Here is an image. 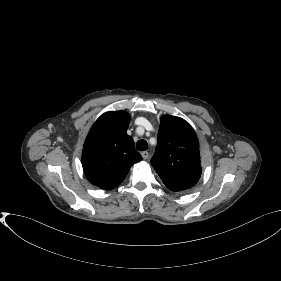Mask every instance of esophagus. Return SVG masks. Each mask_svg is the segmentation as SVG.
<instances>
[{
    "instance_id": "obj_1",
    "label": "esophagus",
    "mask_w": 281,
    "mask_h": 281,
    "mask_svg": "<svg viewBox=\"0 0 281 281\" xmlns=\"http://www.w3.org/2000/svg\"><path fill=\"white\" fill-rule=\"evenodd\" d=\"M141 155H142V158L145 160L149 158V153L147 151L142 152Z\"/></svg>"
}]
</instances>
